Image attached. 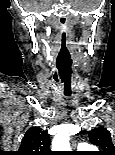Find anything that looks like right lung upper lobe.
Masks as SVG:
<instances>
[{
    "instance_id": "right-lung-upper-lobe-1",
    "label": "right lung upper lobe",
    "mask_w": 115,
    "mask_h": 155,
    "mask_svg": "<svg viewBox=\"0 0 115 155\" xmlns=\"http://www.w3.org/2000/svg\"><path fill=\"white\" fill-rule=\"evenodd\" d=\"M16 155H52L48 134L39 127L30 128L25 133Z\"/></svg>"
}]
</instances>
